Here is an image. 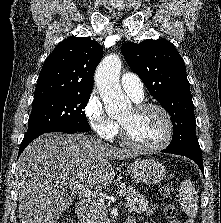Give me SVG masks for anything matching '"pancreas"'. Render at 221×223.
Here are the masks:
<instances>
[{
    "label": "pancreas",
    "mask_w": 221,
    "mask_h": 223,
    "mask_svg": "<svg viewBox=\"0 0 221 223\" xmlns=\"http://www.w3.org/2000/svg\"><path fill=\"white\" fill-rule=\"evenodd\" d=\"M125 207L133 213H145L147 216L153 214L156 207L150 205L143 195L139 194L132 186L124 188ZM80 223H107V209L104 203L95 205L91 203L90 210L83 216Z\"/></svg>",
    "instance_id": "1"
}]
</instances>
